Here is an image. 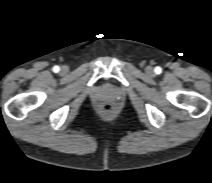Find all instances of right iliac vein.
<instances>
[{"mask_svg":"<svg viewBox=\"0 0 212 183\" xmlns=\"http://www.w3.org/2000/svg\"><path fill=\"white\" fill-rule=\"evenodd\" d=\"M68 72V67L67 66H62L61 67V73L66 74Z\"/></svg>","mask_w":212,"mask_h":183,"instance_id":"1","label":"right iliac vein"}]
</instances>
